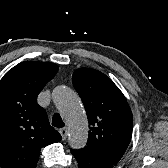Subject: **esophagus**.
<instances>
[{
	"label": "esophagus",
	"instance_id": "34e87169",
	"mask_svg": "<svg viewBox=\"0 0 168 168\" xmlns=\"http://www.w3.org/2000/svg\"><path fill=\"white\" fill-rule=\"evenodd\" d=\"M59 132H60V134H61V136H62V139H63V140H66V139H67V136H68V129H67L66 127H64V128H61V129L59 130Z\"/></svg>",
	"mask_w": 168,
	"mask_h": 168
}]
</instances>
